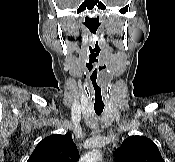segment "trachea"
I'll use <instances>...</instances> for the list:
<instances>
[{
  "label": "trachea",
  "instance_id": "obj_1",
  "mask_svg": "<svg viewBox=\"0 0 175 162\" xmlns=\"http://www.w3.org/2000/svg\"><path fill=\"white\" fill-rule=\"evenodd\" d=\"M104 107H94L95 113L100 115L103 112Z\"/></svg>",
  "mask_w": 175,
  "mask_h": 162
}]
</instances>
